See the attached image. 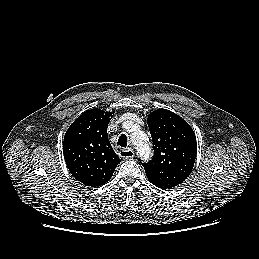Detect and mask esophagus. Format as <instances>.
I'll list each match as a JSON object with an SVG mask.
<instances>
[{"mask_svg":"<svg viewBox=\"0 0 259 259\" xmlns=\"http://www.w3.org/2000/svg\"><path fill=\"white\" fill-rule=\"evenodd\" d=\"M134 151L132 149H121L119 151V156L122 159H131L134 157Z\"/></svg>","mask_w":259,"mask_h":259,"instance_id":"1","label":"esophagus"}]
</instances>
